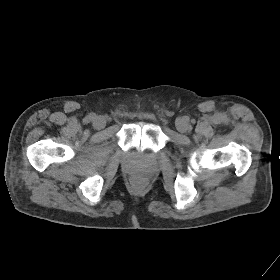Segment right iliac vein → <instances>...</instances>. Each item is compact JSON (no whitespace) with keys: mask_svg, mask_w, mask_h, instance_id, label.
Returning <instances> with one entry per match:
<instances>
[{"mask_svg":"<svg viewBox=\"0 0 280 280\" xmlns=\"http://www.w3.org/2000/svg\"><path fill=\"white\" fill-rule=\"evenodd\" d=\"M106 125V121L102 116H97L93 120V127L95 129H102Z\"/></svg>","mask_w":280,"mask_h":280,"instance_id":"63e3f726","label":"right iliac vein"}]
</instances>
